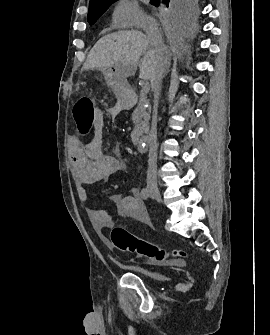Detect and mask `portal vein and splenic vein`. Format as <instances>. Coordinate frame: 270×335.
Returning <instances> with one entry per match:
<instances>
[{
  "mask_svg": "<svg viewBox=\"0 0 270 335\" xmlns=\"http://www.w3.org/2000/svg\"><path fill=\"white\" fill-rule=\"evenodd\" d=\"M141 91H142V93H149L150 88H149V86H142Z\"/></svg>",
  "mask_w": 270,
  "mask_h": 335,
  "instance_id": "portal-vein-and-splenic-vein-1",
  "label": "portal vein and splenic vein"
}]
</instances>
